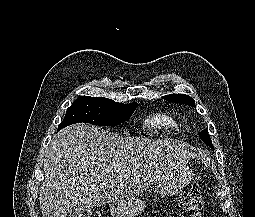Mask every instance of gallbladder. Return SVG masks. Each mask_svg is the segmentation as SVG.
Here are the masks:
<instances>
[{
  "label": "gallbladder",
  "mask_w": 255,
  "mask_h": 217,
  "mask_svg": "<svg viewBox=\"0 0 255 217\" xmlns=\"http://www.w3.org/2000/svg\"><path fill=\"white\" fill-rule=\"evenodd\" d=\"M91 214L90 206L78 204L68 213V217H91Z\"/></svg>",
  "instance_id": "bac80fb5"
}]
</instances>
